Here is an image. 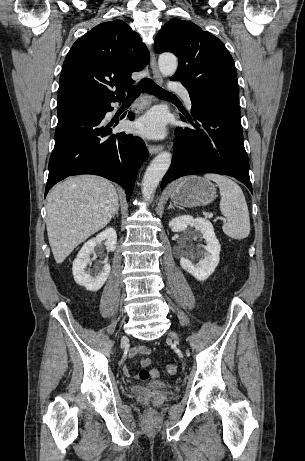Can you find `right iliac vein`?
Returning <instances> with one entry per match:
<instances>
[{
	"label": "right iliac vein",
	"mask_w": 305,
	"mask_h": 461,
	"mask_svg": "<svg viewBox=\"0 0 305 461\" xmlns=\"http://www.w3.org/2000/svg\"><path fill=\"white\" fill-rule=\"evenodd\" d=\"M126 339H127L126 336H122V339H121V340H122V341H125Z\"/></svg>",
	"instance_id": "right-iliac-vein-1"
}]
</instances>
